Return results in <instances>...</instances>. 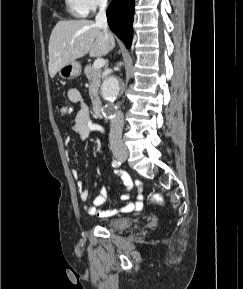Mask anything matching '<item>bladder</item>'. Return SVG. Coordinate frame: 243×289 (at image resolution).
<instances>
[{
	"label": "bladder",
	"mask_w": 243,
	"mask_h": 289,
	"mask_svg": "<svg viewBox=\"0 0 243 289\" xmlns=\"http://www.w3.org/2000/svg\"><path fill=\"white\" fill-rule=\"evenodd\" d=\"M133 220L125 216H111L103 220V225L114 230L128 228Z\"/></svg>",
	"instance_id": "1"
}]
</instances>
